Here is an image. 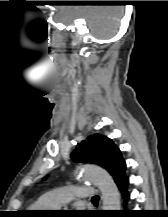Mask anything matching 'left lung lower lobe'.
Here are the masks:
<instances>
[{
  "label": "left lung lower lobe",
  "instance_id": "left-lung-lower-lobe-1",
  "mask_svg": "<svg viewBox=\"0 0 168 217\" xmlns=\"http://www.w3.org/2000/svg\"><path fill=\"white\" fill-rule=\"evenodd\" d=\"M126 170V166L124 167V171ZM120 192H121V195L124 199V202L127 203L128 200L130 199V194L127 190V186L129 184V179L128 177L125 175V172L124 174L119 178V180L116 182ZM120 214H125V212H121Z\"/></svg>",
  "mask_w": 168,
  "mask_h": 217
}]
</instances>
